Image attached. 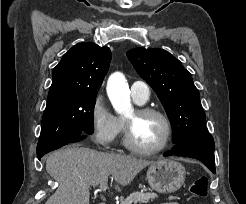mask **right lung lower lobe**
Masks as SVG:
<instances>
[{"label": "right lung lower lobe", "mask_w": 246, "mask_h": 204, "mask_svg": "<svg viewBox=\"0 0 246 204\" xmlns=\"http://www.w3.org/2000/svg\"><path fill=\"white\" fill-rule=\"evenodd\" d=\"M85 138V136H79V137H77V138H75L74 140H72L70 143H74V142H77V141H80V140H82V139H84ZM42 156H38V159L40 160V158H41Z\"/></svg>", "instance_id": "obj_1"}]
</instances>
